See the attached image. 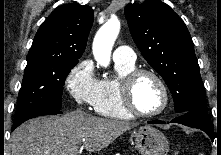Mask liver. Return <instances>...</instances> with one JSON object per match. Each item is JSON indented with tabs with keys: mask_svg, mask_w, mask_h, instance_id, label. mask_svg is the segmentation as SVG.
<instances>
[{
	"mask_svg": "<svg viewBox=\"0 0 221 155\" xmlns=\"http://www.w3.org/2000/svg\"><path fill=\"white\" fill-rule=\"evenodd\" d=\"M137 124L91 116L81 110L35 118L11 136V155H71L81 142L90 152L104 149Z\"/></svg>",
	"mask_w": 221,
	"mask_h": 155,
	"instance_id": "1",
	"label": "liver"
}]
</instances>
